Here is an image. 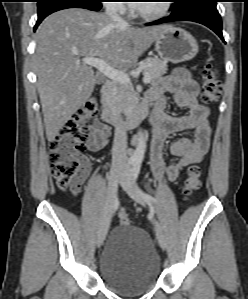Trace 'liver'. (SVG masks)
I'll return each instance as SVG.
<instances>
[{"mask_svg": "<svg viewBox=\"0 0 248 299\" xmlns=\"http://www.w3.org/2000/svg\"><path fill=\"white\" fill-rule=\"evenodd\" d=\"M165 26L135 28L81 8L48 16L36 32L34 64L46 137L52 142L90 98L97 77L83 59H103L117 69L133 66Z\"/></svg>", "mask_w": 248, "mask_h": 299, "instance_id": "6515ba94", "label": "liver"}]
</instances>
